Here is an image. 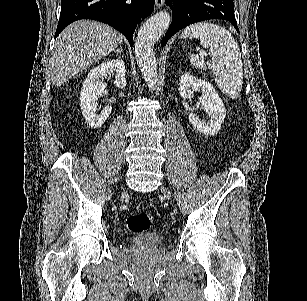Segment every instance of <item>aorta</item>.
Returning a JSON list of instances; mask_svg holds the SVG:
<instances>
[{"mask_svg": "<svg viewBox=\"0 0 307 301\" xmlns=\"http://www.w3.org/2000/svg\"><path fill=\"white\" fill-rule=\"evenodd\" d=\"M171 14L167 10H160L150 16L142 26L135 38V54L140 72L149 88H154L158 80L154 44L171 22Z\"/></svg>", "mask_w": 307, "mask_h": 301, "instance_id": "obj_1", "label": "aorta"}]
</instances>
